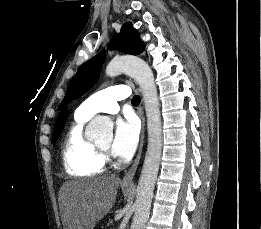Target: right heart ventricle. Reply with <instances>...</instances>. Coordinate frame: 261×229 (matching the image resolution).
Instances as JSON below:
<instances>
[{
	"label": "right heart ventricle",
	"mask_w": 261,
	"mask_h": 229,
	"mask_svg": "<svg viewBox=\"0 0 261 229\" xmlns=\"http://www.w3.org/2000/svg\"><path fill=\"white\" fill-rule=\"evenodd\" d=\"M75 122L68 130L62 144V159L65 169L72 175L92 176L102 173L104 160L99 147L88 140L83 133V125L92 117L85 114L80 107L75 112Z\"/></svg>",
	"instance_id": "obj_1"
}]
</instances>
